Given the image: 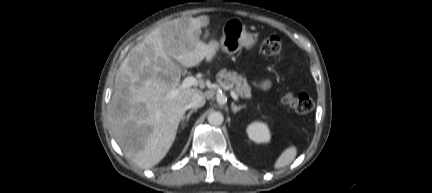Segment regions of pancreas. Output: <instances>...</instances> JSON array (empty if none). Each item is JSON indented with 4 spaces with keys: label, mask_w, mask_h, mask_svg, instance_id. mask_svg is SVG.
<instances>
[{
    "label": "pancreas",
    "mask_w": 432,
    "mask_h": 193,
    "mask_svg": "<svg viewBox=\"0 0 432 193\" xmlns=\"http://www.w3.org/2000/svg\"><path fill=\"white\" fill-rule=\"evenodd\" d=\"M217 82L222 88L232 86L235 93L241 98H251V87L247 80L234 71L222 69L217 74Z\"/></svg>",
    "instance_id": "pancreas-1"
}]
</instances>
